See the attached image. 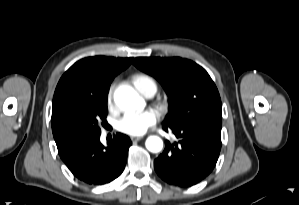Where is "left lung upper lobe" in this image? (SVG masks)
Masks as SVG:
<instances>
[{"label":"left lung upper lobe","instance_id":"5c2ea615","mask_svg":"<svg viewBox=\"0 0 299 205\" xmlns=\"http://www.w3.org/2000/svg\"><path fill=\"white\" fill-rule=\"evenodd\" d=\"M133 64L155 77L168 94L171 110L164 125L222 118L219 92L206 70L195 62L179 57H138Z\"/></svg>","mask_w":299,"mask_h":205}]
</instances>
